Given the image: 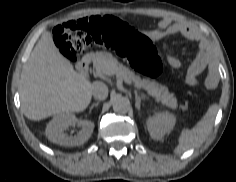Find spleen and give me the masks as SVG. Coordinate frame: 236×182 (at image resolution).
I'll use <instances>...</instances> for the list:
<instances>
[{
	"instance_id": "1",
	"label": "spleen",
	"mask_w": 236,
	"mask_h": 182,
	"mask_svg": "<svg viewBox=\"0 0 236 182\" xmlns=\"http://www.w3.org/2000/svg\"><path fill=\"white\" fill-rule=\"evenodd\" d=\"M217 110L216 104L211 105L207 113L192 129H183L181 131L178 138L179 144L174 150L176 154L183 153L202 144L212 127Z\"/></svg>"
}]
</instances>
